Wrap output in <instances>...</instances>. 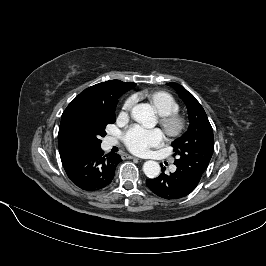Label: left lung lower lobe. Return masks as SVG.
<instances>
[{
	"instance_id": "left-lung-lower-lobe-1",
	"label": "left lung lower lobe",
	"mask_w": 266,
	"mask_h": 266,
	"mask_svg": "<svg viewBox=\"0 0 266 266\" xmlns=\"http://www.w3.org/2000/svg\"><path fill=\"white\" fill-rule=\"evenodd\" d=\"M161 169L163 173L159 177L146 180L148 188L161 198L167 200L183 198L190 194L198 185L179 169L169 175L164 173L162 165Z\"/></svg>"
}]
</instances>
